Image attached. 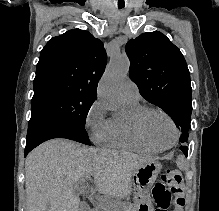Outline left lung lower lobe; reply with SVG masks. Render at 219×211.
I'll return each instance as SVG.
<instances>
[{
  "label": "left lung lower lobe",
  "mask_w": 219,
  "mask_h": 211,
  "mask_svg": "<svg viewBox=\"0 0 219 211\" xmlns=\"http://www.w3.org/2000/svg\"><path fill=\"white\" fill-rule=\"evenodd\" d=\"M180 149L183 151V153L185 154V156L188 155V147H187V146H181Z\"/></svg>",
  "instance_id": "obj_1"
}]
</instances>
